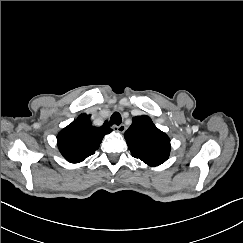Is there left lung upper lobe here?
Listing matches in <instances>:
<instances>
[{"mask_svg":"<svg viewBox=\"0 0 243 243\" xmlns=\"http://www.w3.org/2000/svg\"><path fill=\"white\" fill-rule=\"evenodd\" d=\"M125 139L132 156L149 166H158L169 157V137L148 116L133 118L131 126L125 132Z\"/></svg>","mask_w":243,"mask_h":243,"instance_id":"left-lung-upper-lobe-1","label":"left lung upper lobe"}]
</instances>
